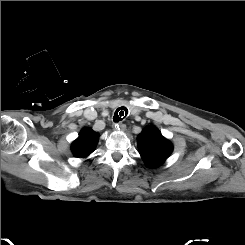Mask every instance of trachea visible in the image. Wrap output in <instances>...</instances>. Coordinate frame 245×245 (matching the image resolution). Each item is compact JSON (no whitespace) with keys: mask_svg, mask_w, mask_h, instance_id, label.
<instances>
[{"mask_svg":"<svg viewBox=\"0 0 245 245\" xmlns=\"http://www.w3.org/2000/svg\"><path fill=\"white\" fill-rule=\"evenodd\" d=\"M128 115V109L124 106L119 107L116 109L114 117H113V121L114 122H119L123 119H125Z\"/></svg>","mask_w":245,"mask_h":245,"instance_id":"3493384b","label":"trachea"}]
</instances>
